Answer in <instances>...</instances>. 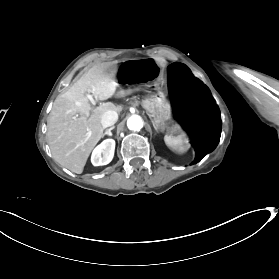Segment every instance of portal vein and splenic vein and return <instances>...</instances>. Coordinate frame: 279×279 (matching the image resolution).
Returning <instances> with one entry per match:
<instances>
[{"label":"portal vein and splenic vein","instance_id":"18ae733b","mask_svg":"<svg viewBox=\"0 0 279 279\" xmlns=\"http://www.w3.org/2000/svg\"><path fill=\"white\" fill-rule=\"evenodd\" d=\"M87 98L91 101L92 109H97L98 103L93 99L92 95L87 94Z\"/></svg>","mask_w":279,"mask_h":279}]
</instances>
